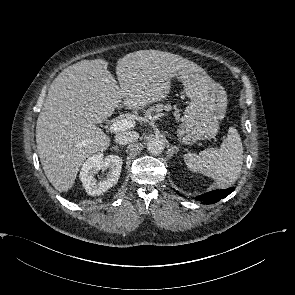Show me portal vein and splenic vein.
Instances as JSON below:
<instances>
[{
	"instance_id": "18ae733b",
	"label": "portal vein and splenic vein",
	"mask_w": 295,
	"mask_h": 295,
	"mask_svg": "<svg viewBox=\"0 0 295 295\" xmlns=\"http://www.w3.org/2000/svg\"><path fill=\"white\" fill-rule=\"evenodd\" d=\"M135 121L131 119H121L117 120L114 123H112L109 127L110 132H120L125 131L127 129H130L134 127Z\"/></svg>"
}]
</instances>
